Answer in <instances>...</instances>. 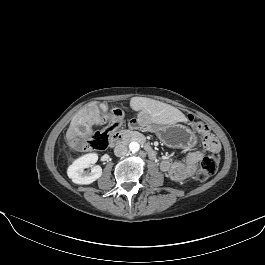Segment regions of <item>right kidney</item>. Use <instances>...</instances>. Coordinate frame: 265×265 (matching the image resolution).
I'll return each instance as SVG.
<instances>
[{"mask_svg":"<svg viewBox=\"0 0 265 265\" xmlns=\"http://www.w3.org/2000/svg\"><path fill=\"white\" fill-rule=\"evenodd\" d=\"M98 160L96 153L86 154L76 159L67 170L68 177L75 184L88 185L99 179L102 175V168L94 165ZM90 168V171H85Z\"/></svg>","mask_w":265,"mask_h":265,"instance_id":"ca27d5eb","label":"right kidney"}]
</instances>
